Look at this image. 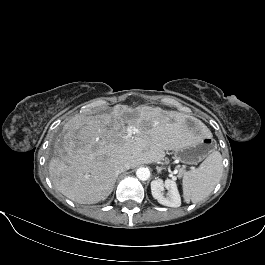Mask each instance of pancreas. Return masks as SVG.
<instances>
[{
    "mask_svg": "<svg viewBox=\"0 0 265 265\" xmlns=\"http://www.w3.org/2000/svg\"><path fill=\"white\" fill-rule=\"evenodd\" d=\"M182 173H183V171H182V170H180V171H179V176H181V174H182Z\"/></svg>",
    "mask_w": 265,
    "mask_h": 265,
    "instance_id": "obj_1",
    "label": "pancreas"
}]
</instances>
